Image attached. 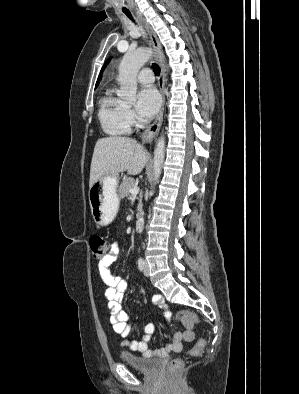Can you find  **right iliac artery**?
Here are the masks:
<instances>
[{"label": "right iliac artery", "mask_w": 299, "mask_h": 394, "mask_svg": "<svg viewBox=\"0 0 299 394\" xmlns=\"http://www.w3.org/2000/svg\"><path fill=\"white\" fill-rule=\"evenodd\" d=\"M144 265H145L144 259L143 258H139L138 259V268H139L140 271L144 270Z\"/></svg>", "instance_id": "obj_1"}]
</instances>
